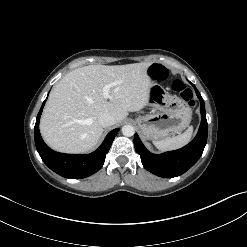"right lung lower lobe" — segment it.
Here are the masks:
<instances>
[{"label": "right lung lower lobe", "mask_w": 247, "mask_h": 247, "mask_svg": "<svg viewBox=\"0 0 247 247\" xmlns=\"http://www.w3.org/2000/svg\"><path fill=\"white\" fill-rule=\"evenodd\" d=\"M46 100L37 115L34 128V139L37 151L43 162L55 173L72 179L88 177L96 173L103 166L105 156L119 131L114 129L106 136L101 146L93 153L83 154H63L51 150L43 141L39 132V120Z\"/></svg>", "instance_id": "obj_1"}]
</instances>
